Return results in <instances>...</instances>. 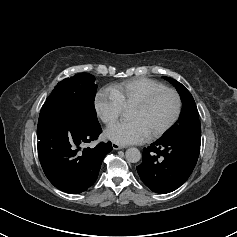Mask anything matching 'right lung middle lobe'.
<instances>
[{
	"instance_id": "1",
	"label": "right lung middle lobe",
	"mask_w": 237,
	"mask_h": 237,
	"mask_svg": "<svg viewBox=\"0 0 237 237\" xmlns=\"http://www.w3.org/2000/svg\"><path fill=\"white\" fill-rule=\"evenodd\" d=\"M89 73H79L59 82L41 112L53 113L79 126L99 124L94 108L97 85Z\"/></svg>"
}]
</instances>
